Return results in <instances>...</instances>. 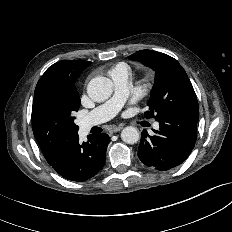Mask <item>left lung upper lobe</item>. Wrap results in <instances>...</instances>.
I'll use <instances>...</instances> for the list:
<instances>
[{"instance_id":"1","label":"left lung upper lobe","mask_w":232,"mask_h":232,"mask_svg":"<svg viewBox=\"0 0 232 232\" xmlns=\"http://www.w3.org/2000/svg\"><path fill=\"white\" fill-rule=\"evenodd\" d=\"M155 71V82L148 101L146 118L159 120L172 113H198V101L192 84L179 62L169 55L141 50L129 57Z\"/></svg>"}]
</instances>
